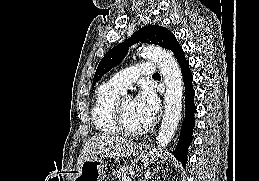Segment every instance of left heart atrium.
Wrapping results in <instances>:
<instances>
[{
  "label": "left heart atrium",
  "mask_w": 259,
  "mask_h": 181,
  "mask_svg": "<svg viewBox=\"0 0 259 181\" xmlns=\"http://www.w3.org/2000/svg\"><path fill=\"white\" fill-rule=\"evenodd\" d=\"M139 113L148 121L155 118L159 110V100L149 89H143L135 98Z\"/></svg>",
  "instance_id": "39dd6f15"
}]
</instances>
